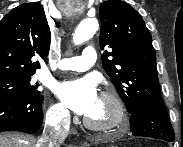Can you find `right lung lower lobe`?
<instances>
[{
  "label": "right lung lower lobe",
  "instance_id": "98d812e1",
  "mask_svg": "<svg viewBox=\"0 0 183 147\" xmlns=\"http://www.w3.org/2000/svg\"><path fill=\"white\" fill-rule=\"evenodd\" d=\"M43 96H0V132L20 131L33 133L42 125Z\"/></svg>",
  "mask_w": 183,
  "mask_h": 147
}]
</instances>
